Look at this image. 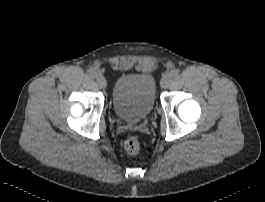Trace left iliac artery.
Instances as JSON below:
<instances>
[{
	"mask_svg": "<svg viewBox=\"0 0 265 202\" xmlns=\"http://www.w3.org/2000/svg\"><path fill=\"white\" fill-rule=\"evenodd\" d=\"M171 73H172L173 76H178V74H179V70H178V69H173V70L171 71Z\"/></svg>",
	"mask_w": 265,
	"mask_h": 202,
	"instance_id": "obj_1",
	"label": "left iliac artery"
}]
</instances>
